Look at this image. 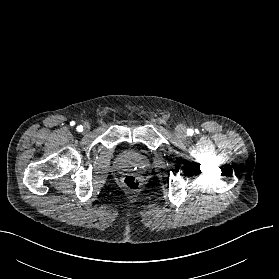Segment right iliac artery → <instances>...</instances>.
<instances>
[{
	"label": "right iliac artery",
	"mask_w": 279,
	"mask_h": 279,
	"mask_svg": "<svg viewBox=\"0 0 279 279\" xmlns=\"http://www.w3.org/2000/svg\"><path fill=\"white\" fill-rule=\"evenodd\" d=\"M75 123L74 122H71V125H74ZM77 131L78 132H82L83 131V127L82 126H78L77 127Z\"/></svg>",
	"instance_id": "right-iliac-artery-1"
}]
</instances>
